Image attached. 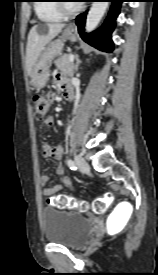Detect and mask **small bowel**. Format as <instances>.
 <instances>
[{"label":"small bowel","mask_w":158,"mask_h":275,"mask_svg":"<svg viewBox=\"0 0 158 275\" xmlns=\"http://www.w3.org/2000/svg\"><path fill=\"white\" fill-rule=\"evenodd\" d=\"M56 86L58 87V89L61 91V93L66 96L69 97L71 94V87L69 82L63 78V77H58L56 79ZM65 91H68L67 94H64ZM49 98H53L54 94L51 92L49 93ZM53 125V119L52 118H48L45 120V122L43 123V127L45 129H49L51 128ZM41 154L43 157L45 158H54L57 160H60L62 158L63 155V147L61 145H56V146H50L46 143L42 144V148H41ZM56 173L60 178L61 184L60 185H55L53 187H46L43 189V194L45 196H53L55 194H57L58 192H60L63 188H72V181L70 179L69 176H67L65 174V169L64 166L62 164H58L56 167ZM40 184L41 185H45L48 181V176L47 175H41L39 178Z\"/></svg>","instance_id":"c3829d8e"}]
</instances>
